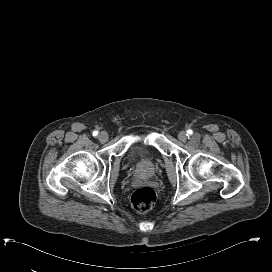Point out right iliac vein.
<instances>
[{"instance_id":"obj_1","label":"right iliac vein","mask_w":272,"mask_h":272,"mask_svg":"<svg viewBox=\"0 0 272 272\" xmlns=\"http://www.w3.org/2000/svg\"><path fill=\"white\" fill-rule=\"evenodd\" d=\"M98 139L100 142L105 143L108 140V134L103 131L98 135Z\"/></svg>"}]
</instances>
